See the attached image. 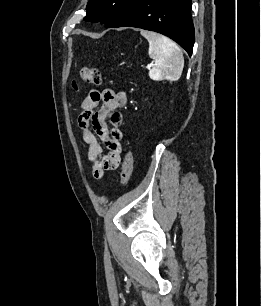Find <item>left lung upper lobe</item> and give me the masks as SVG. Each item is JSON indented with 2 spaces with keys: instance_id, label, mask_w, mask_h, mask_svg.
Listing matches in <instances>:
<instances>
[{
  "instance_id": "obj_1",
  "label": "left lung upper lobe",
  "mask_w": 261,
  "mask_h": 306,
  "mask_svg": "<svg viewBox=\"0 0 261 306\" xmlns=\"http://www.w3.org/2000/svg\"><path fill=\"white\" fill-rule=\"evenodd\" d=\"M132 2L133 0H89L84 20L101 21L107 27H112Z\"/></svg>"
}]
</instances>
